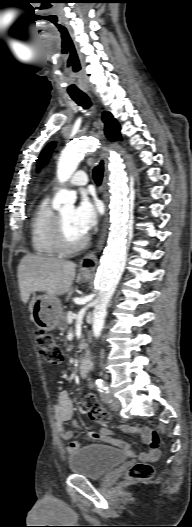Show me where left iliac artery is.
Instances as JSON below:
<instances>
[{
    "label": "left iliac artery",
    "instance_id": "left-iliac-artery-1",
    "mask_svg": "<svg viewBox=\"0 0 192 527\" xmlns=\"http://www.w3.org/2000/svg\"><path fill=\"white\" fill-rule=\"evenodd\" d=\"M97 388L100 392H105V393H108L109 390H108V386L106 385V383L102 380H99L97 382Z\"/></svg>",
    "mask_w": 192,
    "mask_h": 527
}]
</instances>
